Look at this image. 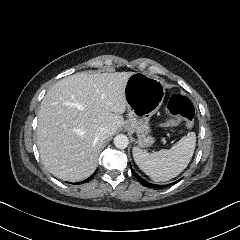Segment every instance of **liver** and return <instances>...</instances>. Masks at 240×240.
Wrapping results in <instances>:
<instances>
[{"mask_svg":"<svg viewBox=\"0 0 240 240\" xmlns=\"http://www.w3.org/2000/svg\"><path fill=\"white\" fill-rule=\"evenodd\" d=\"M134 72L76 73L57 81L41 101L37 146L55 177L78 182L97 168L103 127L112 137L124 125L125 86Z\"/></svg>","mask_w":240,"mask_h":240,"instance_id":"1","label":"liver"}]
</instances>
